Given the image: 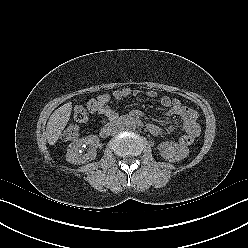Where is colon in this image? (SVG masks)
Listing matches in <instances>:
<instances>
[{"mask_svg":"<svg viewBox=\"0 0 248 248\" xmlns=\"http://www.w3.org/2000/svg\"><path fill=\"white\" fill-rule=\"evenodd\" d=\"M100 106L99 99H92L86 105H76L74 108V119L77 122H85L90 115L98 111ZM80 129L75 123L69 124L62 133V138L65 141H73L79 137ZM193 137L184 135L179 139L181 145H190L194 142Z\"/></svg>","mask_w":248,"mask_h":248,"instance_id":"5ec220e1","label":"colon"}]
</instances>
